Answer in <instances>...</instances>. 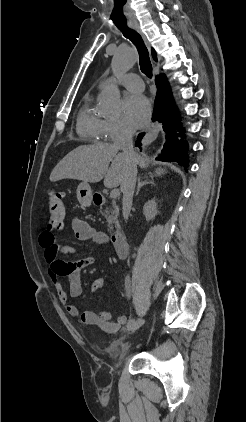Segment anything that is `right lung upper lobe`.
Returning <instances> with one entry per match:
<instances>
[{"label":"right lung upper lobe","mask_w":246,"mask_h":422,"mask_svg":"<svg viewBox=\"0 0 246 422\" xmlns=\"http://www.w3.org/2000/svg\"><path fill=\"white\" fill-rule=\"evenodd\" d=\"M152 56H153V59L155 60V61H157V58H156V52H155V50L154 49H152ZM163 75V74H162Z\"/></svg>","instance_id":"1"}]
</instances>
